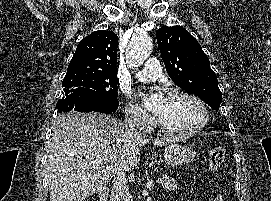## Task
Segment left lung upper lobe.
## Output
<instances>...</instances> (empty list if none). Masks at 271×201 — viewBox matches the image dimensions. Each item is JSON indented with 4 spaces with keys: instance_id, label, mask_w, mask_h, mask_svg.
<instances>
[{
    "instance_id": "1",
    "label": "left lung upper lobe",
    "mask_w": 271,
    "mask_h": 201,
    "mask_svg": "<svg viewBox=\"0 0 271 201\" xmlns=\"http://www.w3.org/2000/svg\"><path fill=\"white\" fill-rule=\"evenodd\" d=\"M156 38L166 71L174 83L218 110L222 102L218 80L196 39L181 26L161 27Z\"/></svg>"
}]
</instances>
